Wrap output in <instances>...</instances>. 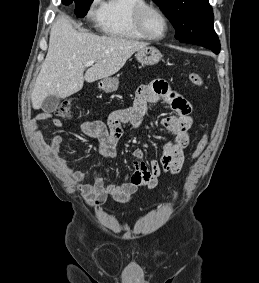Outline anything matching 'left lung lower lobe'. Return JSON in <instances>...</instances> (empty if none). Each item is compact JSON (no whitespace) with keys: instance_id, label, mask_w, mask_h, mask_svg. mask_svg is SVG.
<instances>
[{"instance_id":"left-lung-lower-lobe-1","label":"left lung lower lobe","mask_w":259,"mask_h":283,"mask_svg":"<svg viewBox=\"0 0 259 283\" xmlns=\"http://www.w3.org/2000/svg\"><path fill=\"white\" fill-rule=\"evenodd\" d=\"M192 44L208 48V49L212 50L215 54H218L220 52V42H219V39H217L215 41L197 42V43H192Z\"/></svg>"}]
</instances>
